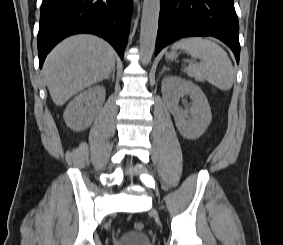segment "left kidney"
<instances>
[{"mask_svg":"<svg viewBox=\"0 0 283 245\" xmlns=\"http://www.w3.org/2000/svg\"><path fill=\"white\" fill-rule=\"evenodd\" d=\"M161 90L181 135L187 139L199 138L212 119L208 100L200 87L177 76H167L162 80ZM185 94L192 99V118L188 120L187 112L179 107L180 97Z\"/></svg>","mask_w":283,"mask_h":245,"instance_id":"left-kidney-1","label":"left kidney"}]
</instances>
